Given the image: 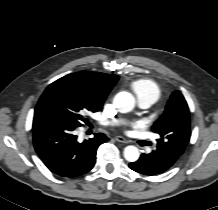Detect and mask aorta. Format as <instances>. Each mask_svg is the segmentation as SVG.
Listing matches in <instances>:
<instances>
[{
  "label": "aorta",
  "instance_id": "aorta-1",
  "mask_svg": "<svg viewBox=\"0 0 218 210\" xmlns=\"http://www.w3.org/2000/svg\"><path fill=\"white\" fill-rule=\"evenodd\" d=\"M114 105L120 112L126 113L135 107V99L129 92L123 91L118 93L114 98ZM140 153L137 147L127 146L124 149V158L129 162H135L139 159Z\"/></svg>",
  "mask_w": 218,
  "mask_h": 210
}]
</instances>
